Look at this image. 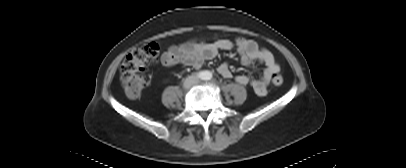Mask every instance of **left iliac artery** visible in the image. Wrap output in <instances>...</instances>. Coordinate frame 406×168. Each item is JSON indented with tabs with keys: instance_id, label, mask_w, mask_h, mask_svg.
Instances as JSON below:
<instances>
[{
	"instance_id": "left-iliac-artery-1",
	"label": "left iliac artery",
	"mask_w": 406,
	"mask_h": 168,
	"mask_svg": "<svg viewBox=\"0 0 406 168\" xmlns=\"http://www.w3.org/2000/svg\"><path fill=\"white\" fill-rule=\"evenodd\" d=\"M211 77L209 75L206 76V79L209 80Z\"/></svg>"
}]
</instances>
